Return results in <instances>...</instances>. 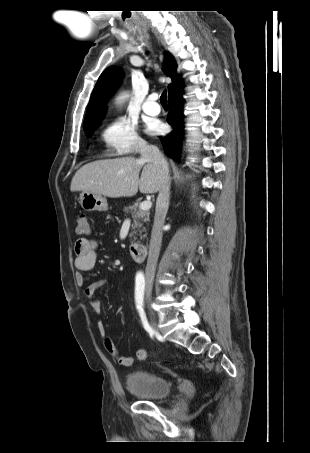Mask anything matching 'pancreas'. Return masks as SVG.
<instances>
[{
	"mask_svg": "<svg viewBox=\"0 0 310 453\" xmlns=\"http://www.w3.org/2000/svg\"><path fill=\"white\" fill-rule=\"evenodd\" d=\"M125 213H130L133 219L132 223V231L130 233V238L136 240L135 235L139 232L140 238L146 237V234L142 235L143 232L146 231V227H144V223L150 221L149 219V211H144L140 209V205L138 203L133 204L132 206L124 207Z\"/></svg>",
	"mask_w": 310,
	"mask_h": 453,
	"instance_id": "1",
	"label": "pancreas"
}]
</instances>
